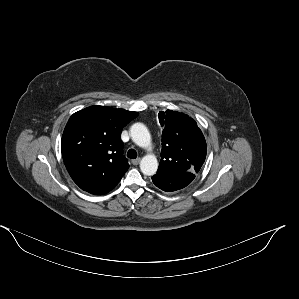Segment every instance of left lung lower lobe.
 <instances>
[{
  "label": "left lung lower lobe",
  "instance_id": "1",
  "mask_svg": "<svg viewBox=\"0 0 299 299\" xmlns=\"http://www.w3.org/2000/svg\"><path fill=\"white\" fill-rule=\"evenodd\" d=\"M194 178L190 172L157 173L152 177V181L161 190L172 192L186 187Z\"/></svg>",
  "mask_w": 299,
  "mask_h": 299
}]
</instances>
